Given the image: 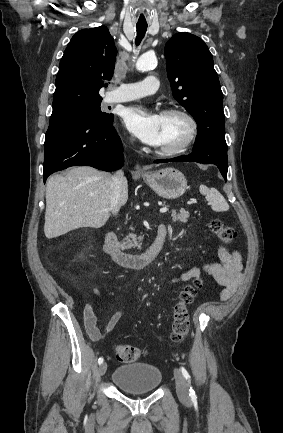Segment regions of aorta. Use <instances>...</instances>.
<instances>
[{"label": "aorta", "instance_id": "762f6f07", "mask_svg": "<svg viewBox=\"0 0 283 433\" xmlns=\"http://www.w3.org/2000/svg\"><path fill=\"white\" fill-rule=\"evenodd\" d=\"M157 65L155 54L147 52L141 55L136 62V69L141 72L153 69Z\"/></svg>", "mask_w": 283, "mask_h": 433}]
</instances>
